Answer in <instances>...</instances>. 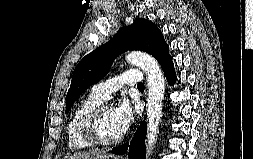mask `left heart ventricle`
<instances>
[{"mask_svg":"<svg viewBox=\"0 0 253 159\" xmlns=\"http://www.w3.org/2000/svg\"><path fill=\"white\" fill-rule=\"evenodd\" d=\"M100 131L103 138L111 140L122 134L113 107L107 108L101 117Z\"/></svg>","mask_w":253,"mask_h":159,"instance_id":"b2bd125f","label":"left heart ventricle"}]
</instances>
